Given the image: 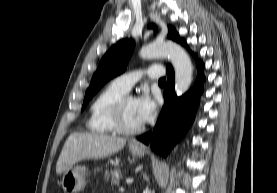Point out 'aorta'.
I'll use <instances>...</instances> for the list:
<instances>
[{
    "instance_id": "obj_1",
    "label": "aorta",
    "mask_w": 277,
    "mask_h": 193,
    "mask_svg": "<svg viewBox=\"0 0 277 193\" xmlns=\"http://www.w3.org/2000/svg\"><path fill=\"white\" fill-rule=\"evenodd\" d=\"M139 55L143 59L168 57L175 69L176 94L181 96L188 90L192 81L193 66L190 57L182 47L173 42H154L142 48Z\"/></svg>"
}]
</instances>
